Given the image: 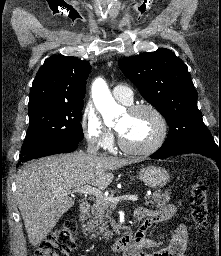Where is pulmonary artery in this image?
<instances>
[{
	"label": "pulmonary artery",
	"mask_w": 221,
	"mask_h": 256,
	"mask_svg": "<svg viewBox=\"0 0 221 256\" xmlns=\"http://www.w3.org/2000/svg\"><path fill=\"white\" fill-rule=\"evenodd\" d=\"M113 96L124 104H130L133 101L132 90L126 85H116L112 90Z\"/></svg>",
	"instance_id": "obj_1"
}]
</instances>
